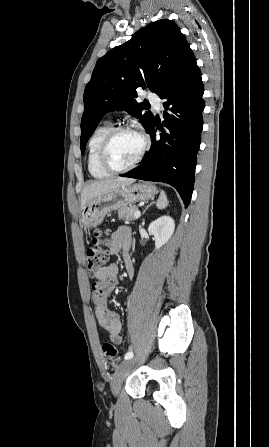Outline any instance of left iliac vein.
<instances>
[{
  "label": "left iliac vein",
  "instance_id": "left-iliac-vein-1",
  "mask_svg": "<svg viewBox=\"0 0 269 447\" xmlns=\"http://www.w3.org/2000/svg\"><path fill=\"white\" fill-rule=\"evenodd\" d=\"M137 359L135 357L127 359L118 365L117 371L113 374L111 380V390L115 396L119 394L121 384L128 375L130 368L134 366Z\"/></svg>",
  "mask_w": 269,
  "mask_h": 447
}]
</instances>
